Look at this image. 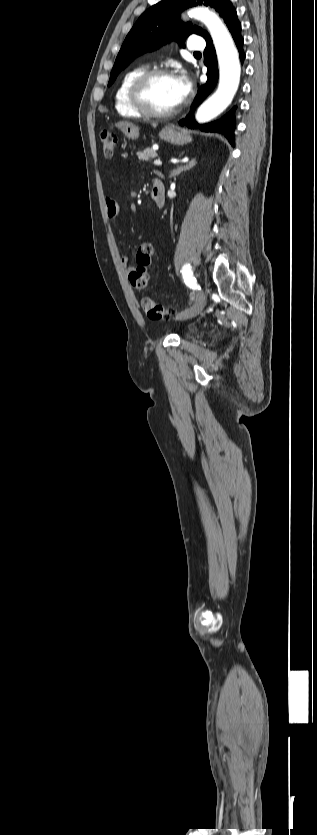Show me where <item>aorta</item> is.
<instances>
[{"label": "aorta", "instance_id": "aorta-1", "mask_svg": "<svg viewBox=\"0 0 317 835\" xmlns=\"http://www.w3.org/2000/svg\"><path fill=\"white\" fill-rule=\"evenodd\" d=\"M188 15L201 21L207 27L216 49L219 65L218 88L196 113V120L199 123H205L219 116L231 104L239 86L241 66L233 39L214 12L205 7H196L190 9Z\"/></svg>", "mask_w": 317, "mask_h": 835}]
</instances>
